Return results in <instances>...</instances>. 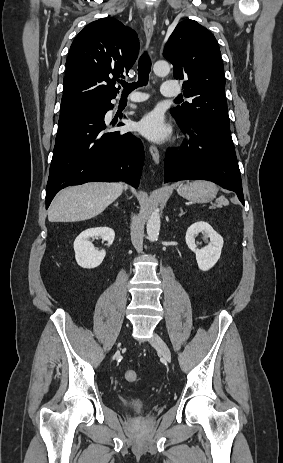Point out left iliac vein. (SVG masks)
<instances>
[{"mask_svg":"<svg viewBox=\"0 0 283 463\" xmlns=\"http://www.w3.org/2000/svg\"><path fill=\"white\" fill-rule=\"evenodd\" d=\"M151 345L156 348L162 356L167 360H171V352L169 350V347L165 343V341L157 334L153 336V338L150 340Z\"/></svg>","mask_w":283,"mask_h":463,"instance_id":"left-iliac-vein-1","label":"left iliac vein"}]
</instances>
